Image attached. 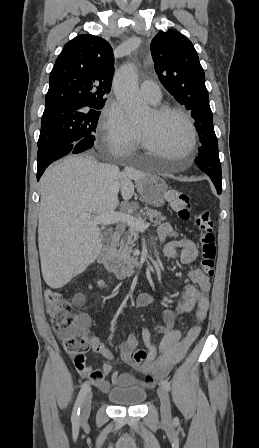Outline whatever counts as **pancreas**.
Masks as SVG:
<instances>
[{"label": "pancreas", "mask_w": 259, "mask_h": 448, "mask_svg": "<svg viewBox=\"0 0 259 448\" xmlns=\"http://www.w3.org/2000/svg\"><path fill=\"white\" fill-rule=\"evenodd\" d=\"M145 210L146 212H140V214H142L144 220H150L153 226H158L160 222L165 220L164 216H161L160 212H157V210H149V208H145ZM138 238L139 234L134 228H129V230L125 232L123 238H121L118 258L123 264H127L128 268H133L134 264H138L137 258L131 256L135 246L134 242H137Z\"/></svg>", "instance_id": "pancreas-1"}]
</instances>
